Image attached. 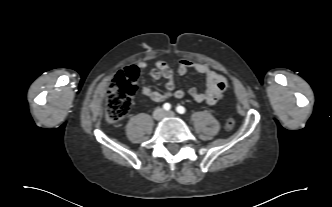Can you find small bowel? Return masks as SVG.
<instances>
[{
    "instance_id": "c3829d8e",
    "label": "small bowel",
    "mask_w": 332,
    "mask_h": 207,
    "mask_svg": "<svg viewBox=\"0 0 332 207\" xmlns=\"http://www.w3.org/2000/svg\"><path fill=\"white\" fill-rule=\"evenodd\" d=\"M137 66L140 69H145L147 67L145 62H139ZM189 70H193L203 75L206 81V88L204 91H199L196 88L189 89V95L196 102H204L209 105H214L223 98L229 88V84L221 74L212 70L205 64L181 59L177 67L178 74L183 76ZM150 75L155 80L165 79V88L160 92L155 91L148 86H144L142 88L144 96L156 102H162L173 97L182 98L184 96V92L176 88L173 70L166 61H156Z\"/></svg>"
}]
</instances>
